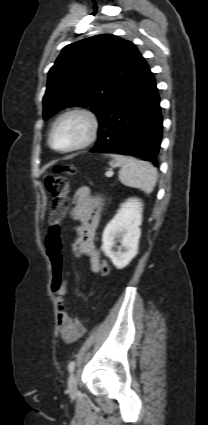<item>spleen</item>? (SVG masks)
Listing matches in <instances>:
<instances>
[{"instance_id": "3e777b00", "label": "spleen", "mask_w": 208, "mask_h": 425, "mask_svg": "<svg viewBox=\"0 0 208 425\" xmlns=\"http://www.w3.org/2000/svg\"><path fill=\"white\" fill-rule=\"evenodd\" d=\"M112 157L122 167L119 171V180L122 184L139 188L146 194H150L154 190L157 182V170L151 163L117 154Z\"/></svg>"}]
</instances>
